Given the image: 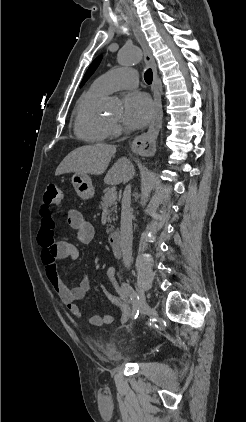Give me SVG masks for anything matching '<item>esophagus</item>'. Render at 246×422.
Listing matches in <instances>:
<instances>
[{
  "label": "esophagus",
  "instance_id": "obj_1",
  "mask_svg": "<svg viewBox=\"0 0 246 422\" xmlns=\"http://www.w3.org/2000/svg\"><path fill=\"white\" fill-rule=\"evenodd\" d=\"M134 34L141 45L144 53V62L148 65L153 72V93H154V115L149 125V128L146 133L141 134L140 136L136 137L131 145V149L133 152L138 153L140 155H149L154 153L156 139L159 134V131L162 127V102L161 97L159 94L158 89V73L156 63L152 54L150 47L138 25L133 26Z\"/></svg>",
  "mask_w": 246,
  "mask_h": 422
}]
</instances>
